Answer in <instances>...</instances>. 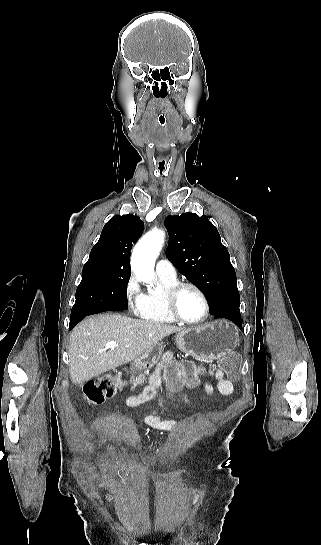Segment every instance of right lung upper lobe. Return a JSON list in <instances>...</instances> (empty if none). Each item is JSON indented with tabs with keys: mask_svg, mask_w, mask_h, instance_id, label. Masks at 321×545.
Here are the masks:
<instances>
[{
	"mask_svg": "<svg viewBox=\"0 0 321 545\" xmlns=\"http://www.w3.org/2000/svg\"><path fill=\"white\" fill-rule=\"evenodd\" d=\"M144 224L134 215H115L103 227L83 270L104 269L111 272H131L130 251L142 235Z\"/></svg>",
	"mask_w": 321,
	"mask_h": 545,
	"instance_id": "obj_1",
	"label": "right lung upper lobe"
}]
</instances>
